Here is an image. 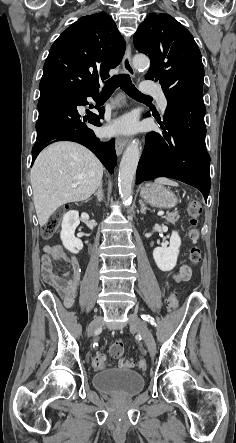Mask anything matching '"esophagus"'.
<instances>
[{"label":"esophagus","mask_w":236,"mask_h":443,"mask_svg":"<svg viewBox=\"0 0 236 443\" xmlns=\"http://www.w3.org/2000/svg\"><path fill=\"white\" fill-rule=\"evenodd\" d=\"M122 65H123V70L129 74L131 77L135 76V70L133 68L132 65V61H131V46L128 45L127 49H126V53L124 55L123 61H122ZM128 144V140L125 138H117L115 141V148H116V154L119 156L123 149L125 148V146Z\"/></svg>","instance_id":"esophagus-1"}]
</instances>
